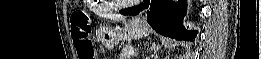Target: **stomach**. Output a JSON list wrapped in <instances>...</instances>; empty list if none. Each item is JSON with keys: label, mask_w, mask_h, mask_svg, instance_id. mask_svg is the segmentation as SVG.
Returning a JSON list of instances; mask_svg holds the SVG:
<instances>
[{"label": "stomach", "mask_w": 261, "mask_h": 59, "mask_svg": "<svg viewBox=\"0 0 261 59\" xmlns=\"http://www.w3.org/2000/svg\"><path fill=\"white\" fill-rule=\"evenodd\" d=\"M148 33L149 28L143 22L133 19L124 22L123 27L101 26L97 30V38L106 49L111 50L122 40L140 39L147 36Z\"/></svg>", "instance_id": "stomach-1"}]
</instances>
